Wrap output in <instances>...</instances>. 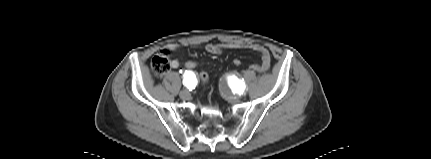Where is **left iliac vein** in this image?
I'll return each instance as SVG.
<instances>
[{
    "label": "left iliac vein",
    "instance_id": "1",
    "mask_svg": "<svg viewBox=\"0 0 431 159\" xmlns=\"http://www.w3.org/2000/svg\"><path fill=\"white\" fill-rule=\"evenodd\" d=\"M224 94H225V97L229 100V101H232V102H236V101H238V99H239V97L238 96H236V95H232L230 92H228L227 90H224Z\"/></svg>",
    "mask_w": 431,
    "mask_h": 159
}]
</instances>
